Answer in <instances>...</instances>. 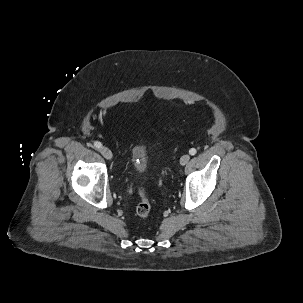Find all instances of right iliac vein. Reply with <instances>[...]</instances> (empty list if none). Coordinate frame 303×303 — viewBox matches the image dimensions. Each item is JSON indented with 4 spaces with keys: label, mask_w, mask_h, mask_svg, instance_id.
Wrapping results in <instances>:
<instances>
[{
    "label": "right iliac vein",
    "mask_w": 303,
    "mask_h": 303,
    "mask_svg": "<svg viewBox=\"0 0 303 303\" xmlns=\"http://www.w3.org/2000/svg\"><path fill=\"white\" fill-rule=\"evenodd\" d=\"M100 153H101V155L104 157V158H106V159H108V160H110V159H112V152H111V150L110 149H108L107 147H101L100 148Z\"/></svg>",
    "instance_id": "obj_1"
}]
</instances>
